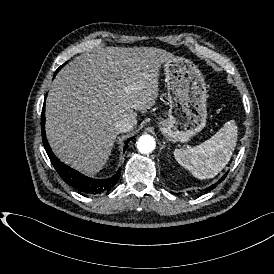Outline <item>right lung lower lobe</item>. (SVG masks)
Instances as JSON below:
<instances>
[{
    "mask_svg": "<svg viewBox=\"0 0 274 274\" xmlns=\"http://www.w3.org/2000/svg\"><path fill=\"white\" fill-rule=\"evenodd\" d=\"M58 71L55 72L54 76ZM41 129H42V140L44 144V148L55 167L56 171L60 175V177L65 181V183L69 184L73 188L85 194H101L108 192L119 180L121 168L117 171V173L108 179L98 180L92 179L84 176L80 172L70 168L69 166L63 164L57 159V157L52 153V150L48 144L45 134V101L41 114ZM132 139V138H131ZM130 139V140H131ZM129 141V140H128ZM127 143L125 145V148ZM125 150V149H124Z\"/></svg>",
    "mask_w": 274,
    "mask_h": 274,
    "instance_id": "right-lung-lower-lobe-1",
    "label": "right lung lower lobe"
}]
</instances>
